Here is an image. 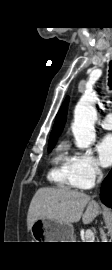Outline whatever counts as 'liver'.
Wrapping results in <instances>:
<instances>
[{
	"instance_id": "liver-1",
	"label": "liver",
	"mask_w": 112,
	"mask_h": 270,
	"mask_svg": "<svg viewBox=\"0 0 112 270\" xmlns=\"http://www.w3.org/2000/svg\"><path fill=\"white\" fill-rule=\"evenodd\" d=\"M100 212L98 203L83 192L44 187L38 189L31 200L27 228L30 230L33 223L39 219L71 224L78 222L82 217L83 223L89 224Z\"/></svg>"
}]
</instances>
